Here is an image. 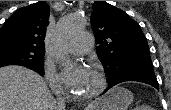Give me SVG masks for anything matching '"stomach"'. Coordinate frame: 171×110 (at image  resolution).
<instances>
[{
    "mask_svg": "<svg viewBox=\"0 0 171 110\" xmlns=\"http://www.w3.org/2000/svg\"><path fill=\"white\" fill-rule=\"evenodd\" d=\"M133 101V94L125 88L111 89L95 110H127Z\"/></svg>",
    "mask_w": 171,
    "mask_h": 110,
    "instance_id": "stomach-1",
    "label": "stomach"
}]
</instances>
